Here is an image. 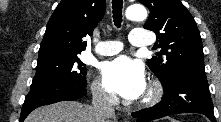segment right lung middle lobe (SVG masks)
Returning <instances> with one entry per match:
<instances>
[{
  "mask_svg": "<svg viewBox=\"0 0 221 122\" xmlns=\"http://www.w3.org/2000/svg\"><path fill=\"white\" fill-rule=\"evenodd\" d=\"M87 69L78 55L38 59L31 89L59 84L86 85Z\"/></svg>",
  "mask_w": 221,
  "mask_h": 122,
  "instance_id": "dd1d6c3e",
  "label": "right lung middle lobe"
}]
</instances>
